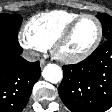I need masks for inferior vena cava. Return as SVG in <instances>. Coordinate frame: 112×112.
Wrapping results in <instances>:
<instances>
[{"label":"inferior vena cava","instance_id":"obj_1","mask_svg":"<svg viewBox=\"0 0 112 112\" xmlns=\"http://www.w3.org/2000/svg\"><path fill=\"white\" fill-rule=\"evenodd\" d=\"M22 56L25 60L30 62L37 61L40 58V54L32 50L25 51Z\"/></svg>","mask_w":112,"mask_h":112}]
</instances>
